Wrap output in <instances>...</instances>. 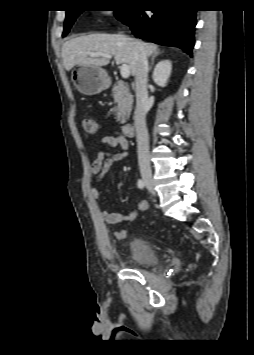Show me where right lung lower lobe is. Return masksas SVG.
Instances as JSON below:
<instances>
[{
    "label": "right lung lower lobe",
    "mask_w": 254,
    "mask_h": 355,
    "mask_svg": "<svg viewBox=\"0 0 254 355\" xmlns=\"http://www.w3.org/2000/svg\"><path fill=\"white\" fill-rule=\"evenodd\" d=\"M160 8L148 14L134 7L120 21L128 25L133 34L156 44L174 45L192 56L196 10L188 3L167 1L158 3Z\"/></svg>",
    "instance_id": "1"
}]
</instances>
